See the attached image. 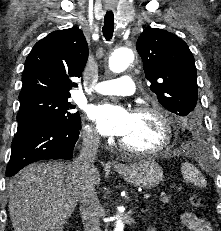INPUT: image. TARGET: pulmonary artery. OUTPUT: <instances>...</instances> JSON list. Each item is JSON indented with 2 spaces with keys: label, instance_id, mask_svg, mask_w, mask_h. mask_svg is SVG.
Masks as SVG:
<instances>
[{
  "label": "pulmonary artery",
  "instance_id": "obj_1",
  "mask_svg": "<svg viewBox=\"0 0 221 231\" xmlns=\"http://www.w3.org/2000/svg\"><path fill=\"white\" fill-rule=\"evenodd\" d=\"M134 81L130 76L119 79L102 81L97 84L95 91L102 95L128 96L134 93Z\"/></svg>",
  "mask_w": 221,
  "mask_h": 231
}]
</instances>
